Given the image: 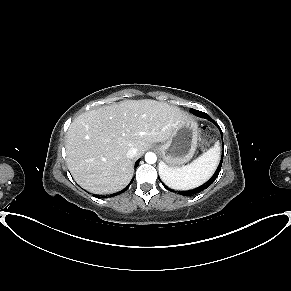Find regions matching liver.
Here are the masks:
<instances>
[{"instance_id":"6515ba94","label":"liver","mask_w":291,"mask_h":291,"mask_svg":"<svg viewBox=\"0 0 291 291\" xmlns=\"http://www.w3.org/2000/svg\"><path fill=\"white\" fill-rule=\"evenodd\" d=\"M189 115L176 106L151 99L125 100L78 116L66 133V161L75 181L87 191L122 190L133 175L127 151L137 156L164 142Z\"/></svg>"}]
</instances>
